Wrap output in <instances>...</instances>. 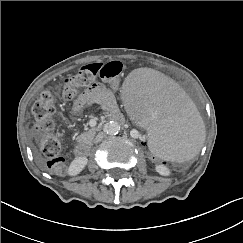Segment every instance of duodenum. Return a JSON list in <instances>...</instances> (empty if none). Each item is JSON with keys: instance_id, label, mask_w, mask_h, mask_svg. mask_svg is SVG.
I'll list each match as a JSON object with an SVG mask.
<instances>
[{"instance_id": "410a0bca", "label": "duodenum", "mask_w": 243, "mask_h": 243, "mask_svg": "<svg viewBox=\"0 0 243 243\" xmlns=\"http://www.w3.org/2000/svg\"><path fill=\"white\" fill-rule=\"evenodd\" d=\"M113 119L118 122H124V118L120 114H115ZM75 152L77 156H85L88 152V144L78 143L75 146Z\"/></svg>"}]
</instances>
